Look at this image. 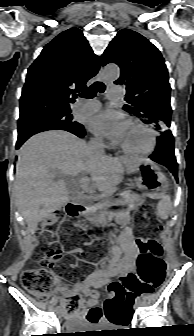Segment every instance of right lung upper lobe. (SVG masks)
Returning a JSON list of instances; mask_svg holds the SVG:
<instances>
[{"mask_svg": "<svg viewBox=\"0 0 194 336\" xmlns=\"http://www.w3.org/2000/svg\"><path fill=\"white\" fill-rule=\"evenodd\" d=\"M100 64L81 30L70 28L60 33L28 69L19 119L42 110H70L71 97L86 88Z\"/></svg>", "mask_w": 194, "mask_h": 336, "instance_id": "right-lung-upper-lobe-1", "label": "right lung upper lobe"}]
</instances>
